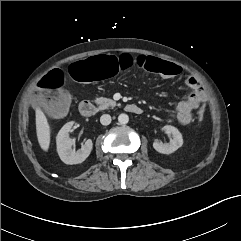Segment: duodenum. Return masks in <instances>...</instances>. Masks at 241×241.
Returning <instances> with one entry per match:
<instances>
[{
    "instance_id": "410a0bca",
    "label": "duodenum",
    "mask_w": 241,
    "mask_h": 241,
    "mask_svg": "<svg viewBox=\"0 0 241 241\" xmlns=\"http://www.w3.org/2000/svg\"><path fill=\"white\" fill-rule=\"evenodd\" d=\"M126 110L133 114H141L142 113L141 107H139L135 104L126 105ZM79 112L84 117H92L96 112V107L91 101L83 100L79 104Z\"/></svg>"
}]
</instances>
